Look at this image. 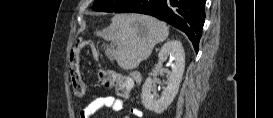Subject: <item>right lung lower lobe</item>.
Wrapping results in <instances>:
<instances>
[{
    "instance_id": "98d812e1",
    "label": "right lung lower lobe",
    "mask_w": 273,
    "mask_h": 118,
    "mask_svg": "<svg viewBox=\"0 0 273 118\" xmlns=\"http://www.w3.org/2000/svg\"><path fill=\"white\" fill-rule=\"evenodd\" d=\"M206 0H129L116 13H141L157 17L182 30L198 52L205 21Z\"/></svg>"
}]
</instances>
